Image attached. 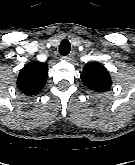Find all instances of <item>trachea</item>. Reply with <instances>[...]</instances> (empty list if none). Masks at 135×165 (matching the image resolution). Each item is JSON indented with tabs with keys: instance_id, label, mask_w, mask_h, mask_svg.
I'll list each match as a JSON object with an SVG mask.
<instances>
[{
	"instance_id": "obj_1",
	"label": "trachea",
	"mask_w": 135,
	"mask_h": 165,
	"mask_svg": "<svg viewBox=\"0 0 135 165\" xmlns=\"http://www.w3.org/2000/svg\"><path fill=\"white\" fill-rule=\"evenodd\" d=\"M70 42L68 41V39H63L60 43L59 46V52L61 55H68L70 53Z\"/></svg>"
}]
</instances>
